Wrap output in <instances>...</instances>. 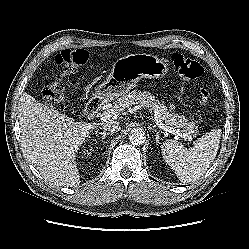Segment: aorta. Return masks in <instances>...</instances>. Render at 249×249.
<instances>
[{"label": "aorta", "mask_w": 249, "mask_h": 249, "mask_svg": "<svg viewBox=\"0 0 249 249\" xmlns=\"http://www.w3.org/2000/svg\"><path fill=\"white\" fill-rule=\"evenodd\" d=\"M128 139L132 145L139 146L144 144L146 140V134L140 128L132 129L128 135Z\"/></svg>", "instance_id": "1"}]
</instances>
